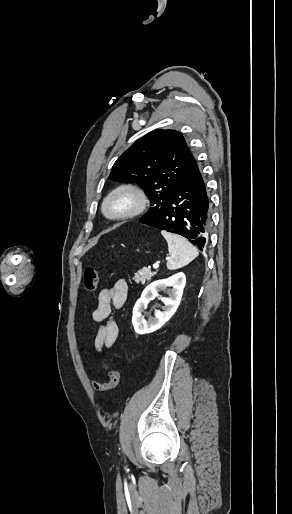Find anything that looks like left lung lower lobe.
Segmentation results:
<instances>
[{
    "instance_id": "1",
    "label": "left lung lower lobe",
    "mask_w": 292,
    "mask_h": 514,
    "mask_svg": "<svg viewBox=\"0 0 292 514\" xmlns=\"http://www.w3.org/2000/svg\"><path fill=\"white\" fill-rule=\"evenodd\" d=\"M140 223L179 234L199 250L208 243L210 201L194 156L190 168L172 195L164 200L156 218Z\"/></svg>"
}]
</instances>
